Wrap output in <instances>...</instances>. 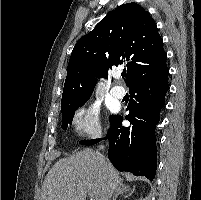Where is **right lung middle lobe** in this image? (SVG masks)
Masks as SVG:
<instances>
[{
  "label": "right lung middle lobe",
  "mask_w": 201,
  "mask_h": 200,
  "mask_svg": "<svg viewBox=\"0 0 201 200\" xmlns=\"http://www.w3.org/2000/svg\"><path fill=\"white\" fill-rule=\"evenodd\" d=\"M90 95L78 98V99H72L67 101L61 102V112H62V129L66 130L68 124L72 123V119L74 116L75 111L83 106L87 100L89 99Z\"/></svg>",
  "instance_id": "right-lung-middle-lobe-1"
}]
</instances>
